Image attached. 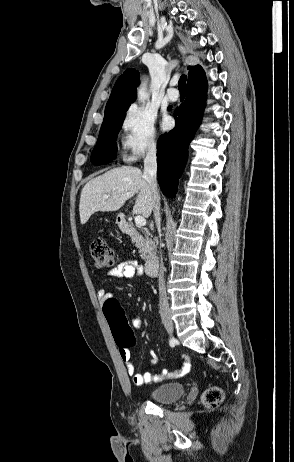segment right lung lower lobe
<instances>
[{
    "label": "right lung lower lobe",
    "instance_id": "98d812e1",
    "mask_svg": "<svg viewBox=\"0 0 294 462\" xmlns=\"http://www.w3.org/2000/svg\"><path fill=\"white\" fill-rule=\"evenodd\" d=\"M207 80L205 73L187 83L186 100L174 112L175 128L159 138L158 182L162 192L175 197L178 179L187 161L188 146L202 120Z\"/></svg>",
    "mask_w": 294,
    "mask_h": 462
}]
</instances>
